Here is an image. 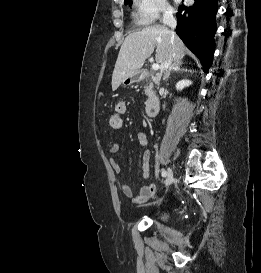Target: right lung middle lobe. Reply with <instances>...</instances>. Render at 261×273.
I'll return each mask as SVG.
<instances>
[{
    "mask_svg": "<svg viewBox=\"0 0 261 273\" xmlns=\"http://www.w3.org/2000/svg\"><path fill=\"white\" fill-rule=\"evenodd\" d=\"M131 1H132V0H126V1H125V4H130V5H131V4H132Z\"/></svg>",
    "mask_w": 261,
    "mask_h": 273,
    "instance_id": "dd1d6c3e",
    "label": "right lung middle lobe"
}]
</instances>
